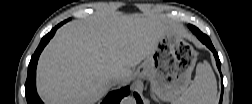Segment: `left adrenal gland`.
<instances>
[{
	"instance_id": "1",
	"label": "left adrenal gland",
	"mask_w": 252,
	"mask_h": 104,
	"mask_svg": "<svg viewBox=\"0 0 252 104\" xmlns=\"http://www.w3.org/2000/svg\"><path fill=\"white\" fill-rule=\"evenodd\" d=\"M152 97L155 99V96H154V94L152 93Z\"/></svg>"
}]
</instances>
